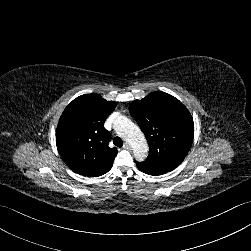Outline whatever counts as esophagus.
<instances>
[{"mask_svg":"<svg viewBox=\"0 0 251 251\" xmlns=\"http://www.w3.org/2000/svg\"><path fill=\"white\" fill-rule=\"evenodd\" d=\"M123 148L126 149V150H131V146L129 145L128 142L124 143Z\"/></svg>","mask_w":251,"mask_h":251,"instance_id":"34e87169","label":"esophagus"}]
</instances>
